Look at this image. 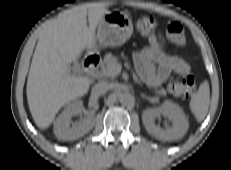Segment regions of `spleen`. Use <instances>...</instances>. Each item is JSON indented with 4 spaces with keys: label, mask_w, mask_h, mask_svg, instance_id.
<instances>
[{
    "label": "spleen",
    "mask_w": 231,
    "mask_h": 170,
    "mask_svg": "<svg viewBox=\"0 0 231 170\" xmlns=\"http://www.w3.org/2000/svg\"><path fill=\"white\" fill-rule=\"evenodd\" d=\"M210 103L209 83L204 81L196 94L190 100L189 107L198 122L207 115Z\"/></svg>",
    "instance_id": "1"
}]
</instances>
